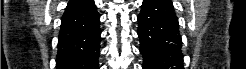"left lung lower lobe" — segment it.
I'll use <instances>...</instances> for the list:
<instances>
[{
    "instance_id": "left-lung-lower-lobe-1",
    "label": "left lung lower lobe",
    "mask_w": 246,
    "mask_h": 69,
    "mask_svg": "<svg viewBox=\"0 0 246 69\" xmlns=\"http://www.w3.org/2000/svg\"><path fill=\"white\" fill-rule=\"evenodd\" d=\"M138 37L143 69H183L178 17L171 1H143Z\"/></svg>"
}]
</instances>
